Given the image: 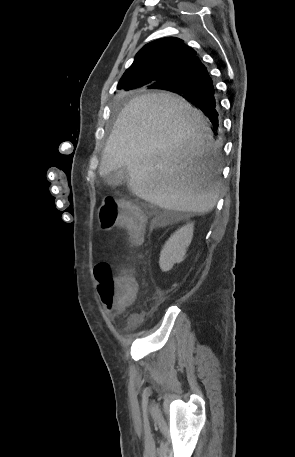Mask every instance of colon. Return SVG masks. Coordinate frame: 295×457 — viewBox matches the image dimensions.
I'll list each match as a JSON object with an SVG mask.
<instances>
[{
    "label": "colon",
    "instance_id": "1",
    "mask_svg": "<svg viewBox=\"0 0 295 457\" xmlns=\"http://www.w3.org/2000/svg\"><path fill=\"white\" fill-rule=\"evenodd\" d=\"M98 224L104 230L117 225L123 226L131 232L135 242H140L144 233L145 217L135 205L107 197L99 208ZM94 273L101 301L108 310L119 312L135 300L138 284L132 276H115L106 263L97 264Z\"/></svg>",
    "mask_w": 295,
    "mask_h": 457
}]
</instances>
